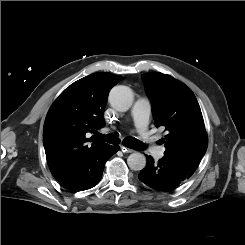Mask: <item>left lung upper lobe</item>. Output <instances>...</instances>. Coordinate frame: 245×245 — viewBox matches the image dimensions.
Segmentation results:
<instances>
[{"mask_svg":"<svg viewBox=\"0 0 245 245\" xmlns=\"http://www.w3.org/2000/svg\"><path fill=\"white\" fill-rule=\"evenodd\" d=\"M152 100L156 127H165L167 135L164 155L198 167L208 145L207 133L200 106L194 93L170 75H142Z\"/></svg>","mask_w":245,"mask_h":245,"instance_id":"left-lung-upper-lobe-1","label":"left lung upper lobe"}]
</instances>
